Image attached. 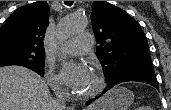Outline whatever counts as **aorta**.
<instances>
[{
	"label": "aorta",
	"instance_id": "aorta-1",
	"mask_svg": "<svg viewBox=\"0 0 171 110\" xmlns=\"http://www.w3.org/2000/svg\"><path fill=\"white\" fill-rule=\"evenodd\" d=\"M88 25V19L81 14L69 15L61 20L58 25V38L65 39L84 30Z\"/></svg>",
	"mask_w": 171,
	"mask_h": 110
}]
</instances>
